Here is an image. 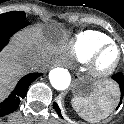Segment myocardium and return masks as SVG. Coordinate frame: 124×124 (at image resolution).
I'll use <instances>...</instances> for the list:
<instances>
[{
  "label": "myocardium",
  "instance_id": "1",
  "mask_svg": "<svg viewBox=\"0 0 124 124\" xmlns=\"http://www.w3.org/2000/svg\"><path fill=\"white\" fill-rule=\"evenodd\" d=\"M110 48H115L118 52V57L115 63L107 68L102 69L99 67V60L102 55ZM124 59V51L121 49L119 45L115 42H108L99 46L91 55L90 59L88 60V70L92 77L96 79H105L112 76L119 68L122 60Z\"/></svg>",
  "mask_w": 124,
  "mask_h": 124
}]
</instances>
